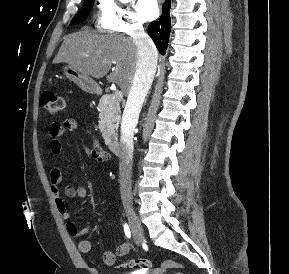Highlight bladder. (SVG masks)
<instances>
[{
  "label": "bladder",
  "mask_w": 289,
  "mask_h": 274,
  "mask_svg": "<svg viewBox=\"0 0 289 274\" xmlns=\"http://www.w3.org/2000/svg\"><path fill=\"white\" fill-rule=\"evenodd\" d=\"M122 274H144V273H141L140 271H133V272H126Z\"/></svg>",
  "instance_id": "bladder-1"
}]
</instances>
